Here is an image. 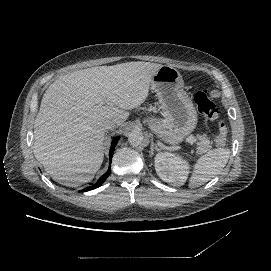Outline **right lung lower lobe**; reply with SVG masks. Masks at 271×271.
<instances>
[{
  "label": "right lung lower lobe",
  "mask_w": 271,
  "mask_h": 271,
  "mask_svg": "<svg viewBox=\"0 0 271 271\" xmlns=\"http://www.w3.org/2000/svg\"><path fill=\"white\" fill-rule=\"evenodd\" d=\"M118 140H119V137H116L112 141L111 149H110V152H109L110 162L112 161V156H113L114 148H115ZM110 173H111V168L109 167L108 171L103 176H101L99 178V180L97 181L96 184H94L92 187H88V188L83 189V191H88V190L95 189V188L99 187L107 179V177L110 175Z\"/></svg>",
  "instance_id": "obj_1"
}]
</instances>
